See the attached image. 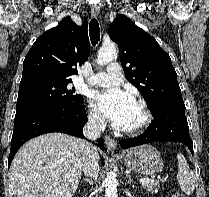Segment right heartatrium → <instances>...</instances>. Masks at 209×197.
<instances>
[{"label":"right heart atrium","instance_id":"obj_1","mask_svg":"<svg viewBox=\"0 0 209 197\" xmlns=\"http://www.w3.org/2000/svg\"><path fill=\"white\" fill-rule=\"evenodd\" d=\"M88 119H89V123L95 128H102L104 126L103 118L98 112L94 110H91L89 112Z\"/></svg>","mask_w":209,"mask_h":197}]
</instances>
